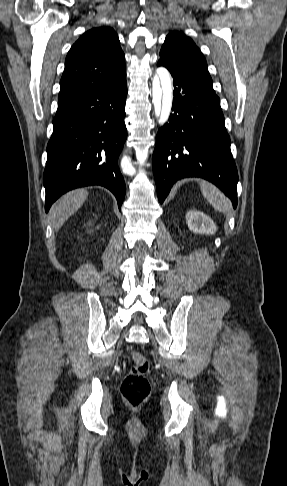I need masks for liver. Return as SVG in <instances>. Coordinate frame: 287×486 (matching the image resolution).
<instances>
[{"mask_svg":"<svg viewBox=\"0 0 287 486\" xmlns=\"http://www.w3.org/2000/svg\"><path fill=\"white\" fill-rule=\"evenodd\" d=\"M86 189H76L63 195L51 208L50 217L53 228L58 231L69 217L83 205L87 199Z\"/></svg>","mask_w":287,"mask_h":486,"instance_id":"6515ba94","label":"liver"}]
</instances>
